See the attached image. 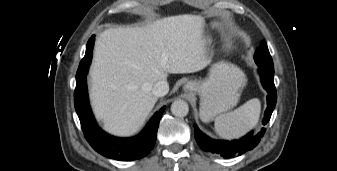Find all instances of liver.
Masks as SVG:
<instances>
[{
    "instance_id": "obj_1",
    "label": "liver",
    "mask_w": 337,
    "mask_h": 171,
    "mask_svg": "<svg viewBox=\"0 0 337 171\" xmlns=\"http://www.w3.org/2000/svg\"><path fill=\"white\" fill-rule=\"evenodd\" d=\"M203 19L177 15L143 27H118L97 38L90 69V98L96 116L115 136L139 131L157 102L152 87L169 73L205 66Z\"/></svg>"
}]
</instances>
